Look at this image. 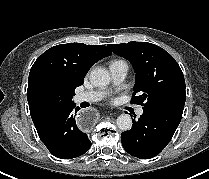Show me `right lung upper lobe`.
<instances>
[{
  "instance_id": "right-lung-upper-lobe-1",
  "label": "right lung upper lobe",
  "mask_w": 209,
  "mask_h": 179,
  "mask_svg": "<svg viewBox=\"0 0 209 179\" xmlns=\"http://www.w3.org/2000/svg\"><path fill=\"white\" fill-rule=\"evenodd\" d=\"M112 52L104 45L68 43L45 51L33 64L28 78L27 100L35 127L59 109L73 104L76 87L89 69Z\"/></svg>"
}]
</instances>
